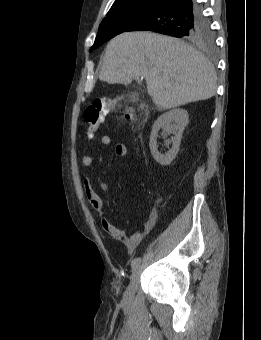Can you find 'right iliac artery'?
I'll use <instances>...</instances> for the list:
<instances>
[{
  "mask_svg": "<svg viewBox=\"0 0 261 340\" xmlns=\"http://www.w3.org/2000/svg\"><path fill=\"white\" fill-rule=\"evenodd\" d=\"M140 262H141L140 257H136V258L133 259V261L131 263L132 271L140 264Z\"/></svg>",
  "mask_w": 261,
  "mask_h": 340,
  "instance_id": "82829eb1",
  "label": "right iliac artery"
}]
</instances>
